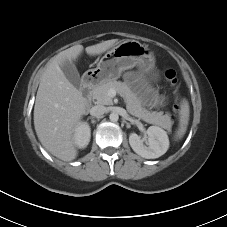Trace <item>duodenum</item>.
I'll use <instances>...</instances> for the list:
<instances>
[{"instance_id": "duodenum-1", "label": "duodenum", "mask_w": 227, "mask_h": 227, "mask_svg": "<svg viewBox=\"0 0 227 227\" xmlns=\"http://www.w3.org/2000/svg\"><path fill=\"white\" fill-rule=\"evenodd\" d=\"M95 79L91 76H86L82 81L81 90L83 93V99L85 103L89 102L90 92L94 86Z\"/></svg>"}]
</instances>
